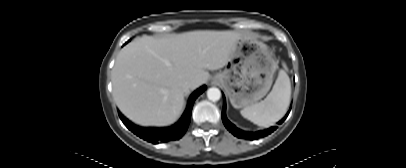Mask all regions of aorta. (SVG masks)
<instances>
[{
	"label": "aorta",
	"instance_id": "obj_1",
	"mask_svg": "<svg viewBox=\"0 0 406 168\" xmlns=\"http://www.w3.org/2000/svg\"><path fill=\"white\" fill-rule=\"evenodd\" d=\"M207 97L213 102L218 101L221 98V91L216 87L209 88L207 90Z\"/></svg>",
	"mask_w": 406,
	"mask_h": 168
}]
</instances>
